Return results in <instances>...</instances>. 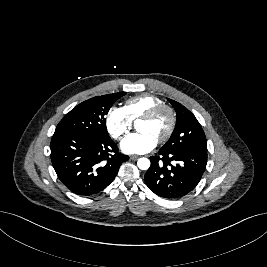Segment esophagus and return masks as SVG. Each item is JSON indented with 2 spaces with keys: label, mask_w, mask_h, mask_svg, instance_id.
<instances>
[{
  "label": "esophagus",
  "mask_w": 267,
  "mask_h": 267,
  "mask_svg": "<svg viewBox=\"0 0 267 267\" xmlns=\"http://www.w3.org/2000/svg\"><path fill=\"white\" fill-rule=\"evenodd\" d=\"M139 158V156H137V155H131L130 156V159L131 160H137Z\"/></svg>",
  "instance_id": "obj_1"
}]
</instances>
